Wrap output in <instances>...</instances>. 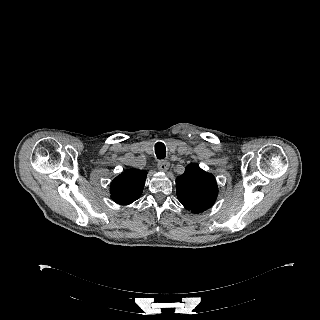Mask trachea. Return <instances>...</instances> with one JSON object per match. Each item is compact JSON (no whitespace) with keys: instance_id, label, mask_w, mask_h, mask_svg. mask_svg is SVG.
Instances as JSON below:
<instances>
[{"instance_id":"1","label":"trachea","mask_w":320,"mask_h":320,"mask_svg":"<svg viewBox=\"0 0 320 320\" xmlns=\"http://www.w3.org/2000/svg\"><path fill=\"white\" fill-rule=\"evenodd\" d=\"M155 153L159 160H163L166 156V148L162 142H157L155 144Z\"/></svg>"}]
</instances>
